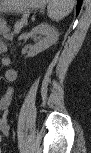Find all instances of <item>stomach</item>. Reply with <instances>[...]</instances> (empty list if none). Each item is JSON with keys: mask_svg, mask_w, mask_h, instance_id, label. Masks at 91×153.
Masks as SVG:
<instances>
[{"mask_svg": "<svg viewBox=\"0 0 91 153\" xmlns=\"http://www.w3.org/2000/svg\"><path fill=\"white\" fill-rule=\"evenodd\" d=\"M42 4H45V1L41 0H15V1H8V0H2L1 6H9V5H15L14 11L21 12L23 10L29 9L34 6H40Z\"/></svg>", "mask_w": 91, "mask_h": 153, "instance_id": "1", "label": "stomach"}]
</instances>
